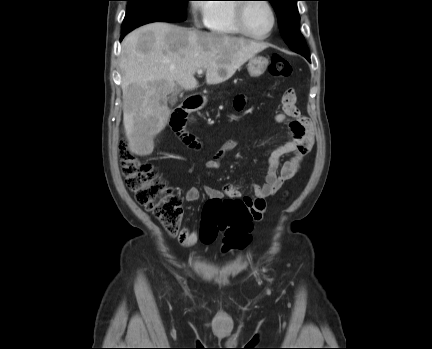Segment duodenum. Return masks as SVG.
<instances>
[{
    "instance_id": "1",
    "label": "duodenum",
    "mask_w": 432,
    "mask_h": 349,
    "mask_svg": "<svg viewBox=\"0 0 432 349\" xmlns=\"http://www.w3.org/2000/svg\"><path fill=\"white\" fill-rule=\"evenodd\" d=\"M202 104V98L198 96H193L186 99L181 106L173 114L171 120V126L174 131L180 134L184 141L190 143L193 138L187 134H183L182 130L186 125L189 115L195 112Z\"/></svg>"
}]
</instances>
